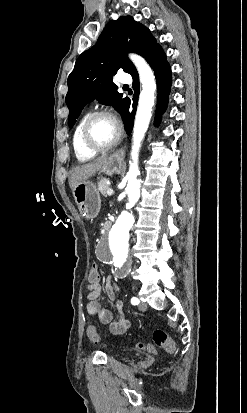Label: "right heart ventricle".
Here are the masks:
<instances>
[{
  "label": "right heart ventricle",
  "mask_w": 247,
  "mask_h": 413,
  "mask_svg": "<svg viewBox=\"0 0 247 413\" xmlns=\"http://www.w3.org/2000/svg\"><path fill=\"white\" fill-rule=\"evenodd\" d=\"M85 121H86V117L81 120L79 125L76 127L74 131V135H73V146L75 150V155L78 161L80 162L89 161L98 155V152L88 151L81 144L80 133H81V129Z\"/></svg>",
  "instance_id": "right-heart-ventricle-1"
}]
</instances>
